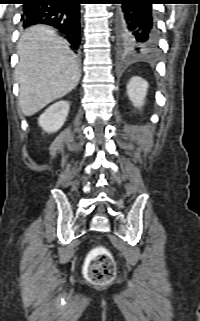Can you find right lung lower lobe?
Returning <instances> with one entry per match:
<instances>
[{"instance_id":"98d812e1","label":"right lung lower lobe","mask_w":200,"mask_h":321,"mask_svg":"<svg viewBox=\"0 0 200 321\" xmlns=\"http://www.w3.org/2000/svg\"><path fill=\"white\" fill-rule=\"evenodd\" d=\"M21 21L24 27L46 24L57 28L73 50L80 44L81 0H25Z\"/></svg>"}]
</instances>
